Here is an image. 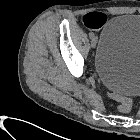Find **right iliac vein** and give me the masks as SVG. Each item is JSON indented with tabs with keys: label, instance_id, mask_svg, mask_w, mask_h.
Listing matches in <instances>:
<instances>
[{
	"label": "right iliac vein",
	"instance_id": "63e3f726",
	"mask_svg": "<svg viewBox=\"0 0 140 140\" xmlns=\"http://www.w3.org/2000/svg\"><path fill=\"white\" fill-rule=\"evenodd\" d=\"M91 46H92V48L96 47V39L94 37L91 40Z\"/></svg>",
	"mask_w": 140,
	"mask_h": 140
}]
</instances>
